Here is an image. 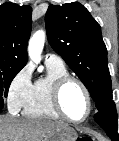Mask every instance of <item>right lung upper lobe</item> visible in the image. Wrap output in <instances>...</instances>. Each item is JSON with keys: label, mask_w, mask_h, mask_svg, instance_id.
Returning <instances> with one entry per match:
<instances>
[{"label": "right lung upper lobe", "mask_w": 119, "mask_h": 141, "mask_svg": "<svg viewBox=\"0 0 119 141\" xmlns=\"http://www.w3.org/2000/svg\"><path fill=\"white\" fill-rule=\"evenodd\" d=\"M31 14V6L8 2L0 6V69L21 70L26 65Z\"/></svg>", "instance_id": "obj_1"}]
</instances>
